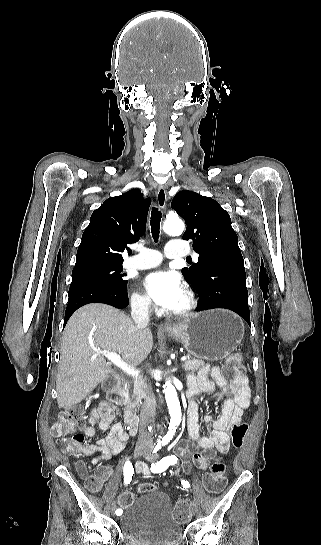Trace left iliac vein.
I'll list each match as a JSON object with an SVG mask.
<instances>
[{"mask_svg": "<svg viewBox=\"0 0 321 545\" xmlns=\"http://www.w3.org/2000/svg\"><path fill=\"white\" fill-rule=\"evenodd\" d=\"M145 458L148 460V461H155L157 459V455H153V454H150L149 452H147L145 454ZM197 510H198V505L195 501H192L190 503V511L193 515H195L197 513Z\"/></svg>", "mask_w": 321, "mask_h": 545, "instance_id": "left-iliac-vein-1", "label": "left iliac vein"}]
</instances>
